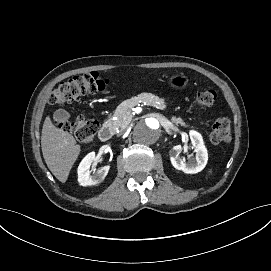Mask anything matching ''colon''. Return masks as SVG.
I'll return each instance as SVG.
<instances>
[{"label": "colon", "instance_id": "colon-1", "mask_svg": "<svg viewBox=\"0 0 271 271\" xmlns=\"http://www.w3.org/2000/svg\"><path fill=\"white\" fill-rule=\"evenodd\" d=\"M107 78L102 77L97 72H89L74 76L61 82L50 95L49 101L54 105H65L77 101L86 94L103 91L109 84ZM214 90H206L197 94L196 104L200 108H207L213 105L216 100ZM98 123L94 120L86 119L82 116L72 120L64 121L60 127L75 135L77 140L83 145H89L97 132ZM232 130L228 118L219 117L212 124L210 139L214 144L228 142L231 138Z\"/></svg>", "mask_w": 271, "mask_h": 271}]
</instances>
